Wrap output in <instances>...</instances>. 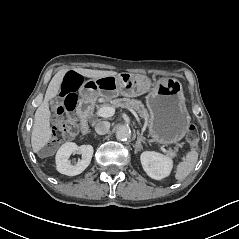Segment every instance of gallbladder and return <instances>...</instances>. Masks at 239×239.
Returning a JSON list of instances; mask_svg holds the SVG:
<instances>
[{"label": "gallbladder", "instance_id": "obj_1", "mask_svg": "<svg viewBox=\"0 0 239 239\" xmlns=\"http://www.w3.org/2000/svg\"><path fill=\"white\" fill-rule=\"evenodd\" d=\"M54 104H55V100H54V99L49 100V105H50V106H52V105H54ZM44 151H45V149H43V150L41 151V153L44 152Z\"/></svg>", "mask_w": 239, "mask_h": 239}]
</instances>
